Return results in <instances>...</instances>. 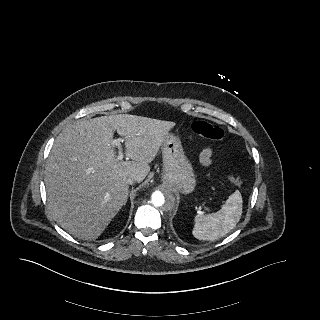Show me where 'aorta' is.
Segmentation results:
<instances>
[{"mask_svg": "<svg viewBox=\"0 0 320 320\" xmlns=\"http://www.w3.org/2000/svg\"><path fill=\"white\" fill-rule=\"evenodd\" d=\"M176 206V198L171 190L163 188L151 195L150 209L156 217H163L167 212H173Z\"/></svg>", "mask_w": 320, "mask_h": 320, "instance_id": "obj_1", "label": "aorta"}]
</instances>
